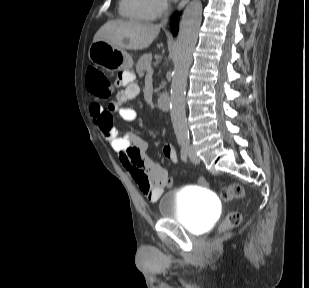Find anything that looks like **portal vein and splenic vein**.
Segmentation results:
<instances>
[{"label":"portal vein and splenic vein","mask_w":309,"mask_h":288,"mask_svg":"<svg viewBox=\"0 0 309 288\" xmlns=\"http://www.w3.org/2000/svg\"><path fill=\"white\" fill-rule=\"evenodd\" d=\"M147 73L148 74H152L153 73V69L151 68V66H149Z\"/></svg>","instance_id":"portal-vein-and-splenic-vein-1"}]
</instances>
